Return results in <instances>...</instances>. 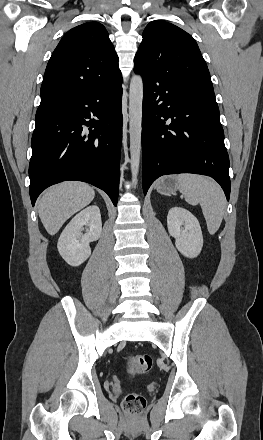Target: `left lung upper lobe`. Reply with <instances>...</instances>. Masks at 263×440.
I'll return each mask as SVG.
<instances>
[{"mask_svg":"<svg viewBox=\"0 0 263 440\" xmlns=\"http://www.w3.org/2000/svg\"><path fill=\"white\" fill-rule=\"evenodd\" d=\"M135 56V66L156 73H171L186 83L214 92L205 60L193 37L162 21L150 22Z\"/></svg>","mask_w":263,"mask_h":440,"instance_id":"1","label":"left lung upper lobe"}]
</instances>
